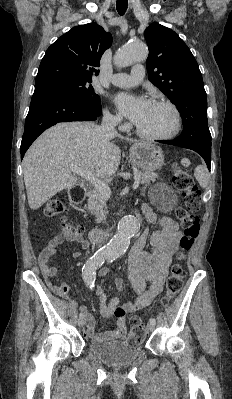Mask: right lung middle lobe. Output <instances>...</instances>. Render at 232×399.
Listing matches in <instances>:
<instances>
[{"instance_id":"obj_1","label":"right lung middle lobe","mask_w":232,"mask_h":399,"mask_svg":"<svg viewBox=\"0 0 232 399\" xmlns=\"http://www.w3.org/2000/svg\"><path fill=\"white\" fill-rule=\"evenodd\" d=\"M91 82L92 81L89 80L59 77L44 80L38 84H35V86L50 85L58 87L72 95L83 104L89 105L94 109H101L100 97L94 92L92 85H88V83Z\"/></svg>"}]
</instances>
